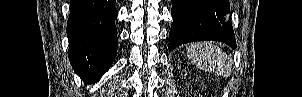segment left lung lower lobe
Wrapping results in <instances>:
<instances>
[{"label":"left lung lower lobe","mask_w":302,"mask_h":97,"mask_svg":"<svg viewBox=\"0 0 302 97\" xmlns=\"http://www.w3.org/2000/svg\"><path fill=\"white\" fill-rule=\"evenodd\" d=\"M229 10V0H172L168 49L203 40H215L235 48Z\"/></svg>","instance_id":"left-lung-lower-lobe-1"}]
</instances>
